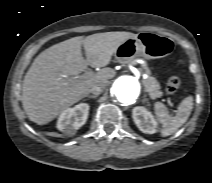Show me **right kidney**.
<instances>
[{
	"instance_id": "obj_1",
	"label": "right kidney",
	"mask_w": 212,
	"mask_h": 183,
	"mask_svg": "<svg viewBox=\"0 0 212 183\" xmlns=\"http://www.w3.org/2000/svg\"><path fill=\"white\" fill-rule=\"evenodd\" d=\"M88 113L89 105L86 103H80L73 108H67L58 118V130L66 135H73L77 129L85 124Z\"/></svg>"
}]
</instances>
